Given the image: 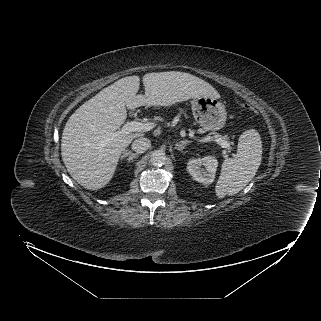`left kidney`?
Returning <instances> with one entry per match:
<instances>
[{
  "label": "left kidney",
  "instance_id": "5707ae66",
  "mask_svg": "<svg viewBox=\"0 0 321 321\" xmlns=\"http://www.w3.org/2000/svg\"><path fill=\"white\" fill-rule=\"evenodd\" d=\"M204 166L205 169L201 168ZM218 161L213 156H205L202 159H192L187 164V170L194 180L209 185L214 181Z\"/></svg>",
  "mask_w": 321,
  "mask_h": 321
}]
</instances>
